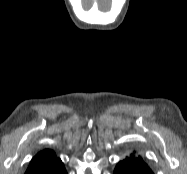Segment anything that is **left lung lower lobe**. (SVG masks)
Masks as SVG:
<instances>
[{"instance_id":"left-lung-lower-lobe-1","label":"left lung lower lobe","mask_w":187,"mask_h":174,"mask_svg":"<svg viewBox=\"0 0 187 174\" xmlns=\"http://www.w3.org/2000/svg\"><path fill=\"white\" fill-rule=\"evenodd\" d=\"M114 174H154L150 168L128 167L121 163L117 164Z\"/></svg>"}]
</instances>
